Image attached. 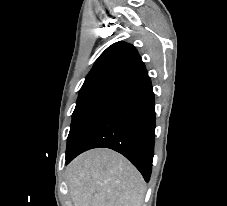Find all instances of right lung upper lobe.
<instances>
[{
  "mask_svg": "<svg viewBox=\"0 0 227 206\" xmlns=\"http://www.w3.org/2000/svg\"><path fill=\"white\" fill-rule=\"evenodd\" d=\"M148 75L135 47L125 42L109 46L96 60L83 86L105 80L133 82Z\"/></svg>",
  "mask_w": 227,
  "mask_h": 206,
  "instance_id": "1",
  "label": "right lung upper lobe"
}]
</instances>
